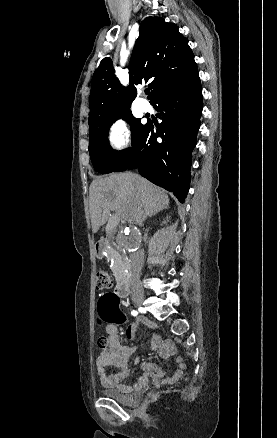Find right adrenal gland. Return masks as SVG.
I'll return each mask as SVG.
<instances>
[{
  "instance_id": "obj_1",
  "label": "right adrenal gland",
  "mask_w": 277,
  "mask_h": 438,
  "mask_svg": "<svg viewBox=\"0 0 277 438\" xmlns=\"http://www.w3.org/2000/svg\"><path fill=\"white\" fill-rule=\"evenodd\" d=\"M166 210V208H165ZM145 220H147V214H144L143 218H142V222H145Z\"/></svg>"
}]
</instances>
